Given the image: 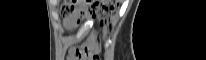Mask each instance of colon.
I'll return each instance as SVG.
<instances>
[{
  "mask_svg": "<svg viewBox=\"0 0 206 60\" xmlns=\"http://www.w3.org/2000/svg\"><path fill=\"white\" fill-rule=\"evenodd\" d=\"M116 8V1L113 0H65L62 5V14L67 18L79 20L86 12H99L103 16L104 27L107 24L108 16ZM98 39L91 40L88 44L75 50L79 60H99Z\"/></svg>",
  "mask_w": 206,
  "mask_h": 60,
  "instance_id": "colon-1",
  "label": "colon"
}]
</instances>
